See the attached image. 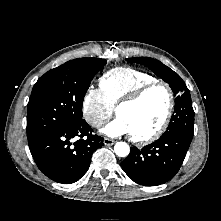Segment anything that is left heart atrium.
I'll return each instance as SVG.
<instances>
[{
	"label": "left heart atrium",
	"instance_id": "obj_1",
	"mask_svg": "<svg viewBox=\"0 0 221 221\" xmlns=\"http://www.w3.org/2000/svg\"><path fill=\"white\" fill-rule=\"evenodd\" d=\"M101 131L102 133L110 137H117L125 134H130L128 126L118 116L116 119L108 123Z\"/></svg>",
	"mask_w": 221,
	"mask_h": 221
}]
</instances>
